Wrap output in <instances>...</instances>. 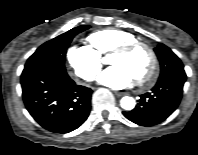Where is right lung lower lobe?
<instances>
[{"label": "right lung lower lobe", "instance_id": "1", "mask_svg": "<svg viewBox=\"0 0 198 155\" xmlns=\"http://www.w3.org/2000/svg\"><path fill=\"white\" fill-rule=\"evenodd\" d=\"M21 85L27 110L46 130L68 133L88 118L92 90L76 85L66 73L48 67H27Z\"/></svg>", "mask_w": 198, "mask_h": 155}]
</instances>
